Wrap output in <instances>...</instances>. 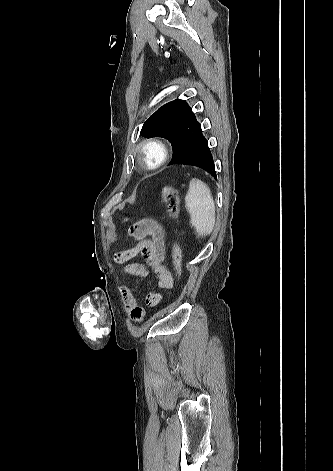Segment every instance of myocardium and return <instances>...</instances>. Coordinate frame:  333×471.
<instances>
[{
    "label": "myocardium",
    "mask_w": 333,
    "mask_h": 471,
    "mask_svg": "<svg viewBox=\"0 0 333 471\" xmlns=\"http://www.w3.org/2000/svg\"><path fill=\"white\" fill-rule=\"evenodd\" d=\"M167 158V149L159 140L150 139L141 145V162L148 169L160 167Z\"/></svg>",
    "instance_id": "1"
}]
</instances>
